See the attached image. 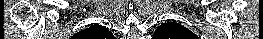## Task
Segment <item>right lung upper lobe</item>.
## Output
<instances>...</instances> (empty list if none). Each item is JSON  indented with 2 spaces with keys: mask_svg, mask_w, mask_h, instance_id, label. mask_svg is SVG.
Wrapping results in <instances>:
<instances>
[{
  "mask_svg": "<svg viewBox=\"0 0 263 39\" xmlns=\"http://www.w3.org/2000/svg\"><path fill=\"white\" fill-rule=\"evenodd\" d=\"M76 37L84 39H111L113 34L102 25L94 24L89 28L78 32Z\"/></svg>",
  "mask_w": 263,
  "mask_h": 39,
  "instance_id": "1",
  "label": "right lung upper lobe"
}]
</instances>
